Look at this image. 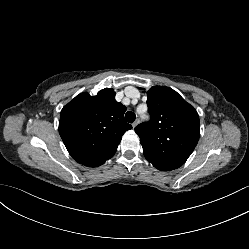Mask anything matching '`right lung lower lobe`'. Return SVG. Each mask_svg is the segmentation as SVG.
<instances>
[{
    "instance_id": "98d812e1",
    "label": "right lung lower lobe",
    "mask_w": 249,
    "mask_h": 249,
    "mask_svg": "<svg viewBox=\"0 0 249 249\" xmlns=\"http://www.w3.org/2000/svg\"><path fill=\"white\" fill-rule=\"evenodd\" d=\"M109 158H111V157H109ZM109 158H107V159H109ZM107 159H103V160H100V161H98V162H95V163L86 165V166H89V167H97V166H100V165H102L103 163H105V161H106Z\"/></svg>"
}]
</instances>
